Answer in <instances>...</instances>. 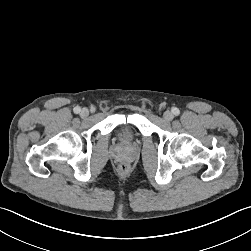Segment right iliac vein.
Here are the masks:
<instances>
[{
	"instance_id": "63e3f726",
	"label": "right iliac vein",
	"mask_w": 251,
	"mask_h": 251,
	"mask_svg": "<svg viewBox=\"0 0 251 251\" xmlns=\"http://www.w3.org/2000/svg\"><path fill=\"white\" fill-rule=\"evenodd\" d=\"M80 115H81V117H87L89 115V110L87 108H83L80 111Z\"/></svg>"
}]
</instances>
